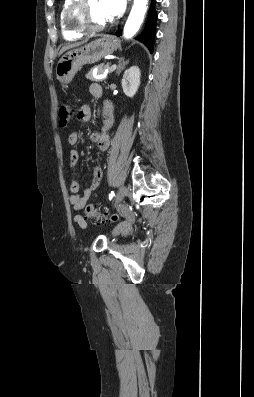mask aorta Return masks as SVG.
I'll list each match as a JSON object with an SVG mask.
<instances>
[{"instance_id": "obj_1", "label": "aorta", "mask_w": 254, "mask_h": 397, "mask_svg": "<svg viewBox=\"0 0 254 397\" xmlns=\"http://www.w3.org/2000/svg\"><path fill=\"white\" fill-rule=\"evenodd\" d=\"M148 0H134L130 15L124 26V37L129 39L139 30L147 10Z\"/></svg>"}]
</instances>
